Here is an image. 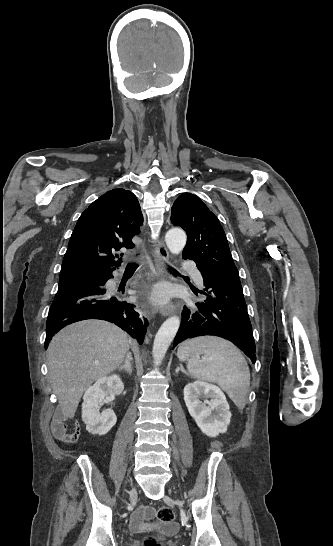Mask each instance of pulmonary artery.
<instances>
[{"label": "pulmonary artery", "mask_w": 333, "mask_h": 546, "mask_svg": "<svg viewBox=\"0 0 333 546\" xmlns=\"http://www.w3.org/2000/svg\"><path fill=\"white\" fill-rule=\"evenodd\" d=\"M194 280L196 281L197 284L199 285H202L203 283V280H202V277H201V274L199 272H194Z\"/></svg>", "instance_id": "pulmonary-artery-1"}]
</instances>
